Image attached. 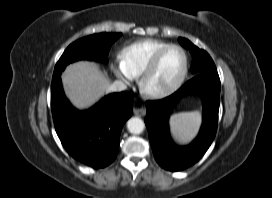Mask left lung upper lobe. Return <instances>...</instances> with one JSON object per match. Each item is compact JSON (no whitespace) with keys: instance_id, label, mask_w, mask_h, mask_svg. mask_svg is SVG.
Segmentation results:
<instances>
[{"instance_id":"1","label":"left lung upper lobe","mask_w":272,"mask_h":198,"mask_svg":"<svg viewBox=\"0 0 272 198\" xmlns=\"http://www.w3.org/2000/svg\"><path fill=\"white\" fill-rule=\"evenodd\" d=\"M178 41L184 48L188 49L193 56L192 73L200 74L216 71L215 64L206 51L199 49L185 38H179Z\"/></svg>"}]
</instances>
